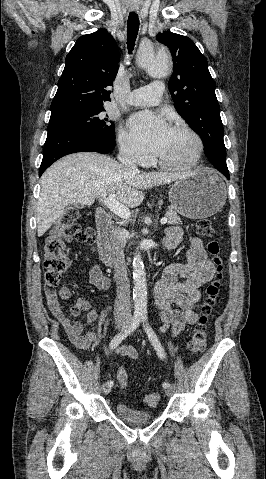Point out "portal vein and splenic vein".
<instances>
[{
    "mask_svg": "<svg viewBox=\"0 0 266 479\" xmlns=\"http://www.w3.org/2000/svg\"><path fill=\"white\" fill-rule=\"evenodd\" d=\"M103 204L114 214L120 216L123 219H128L131 215L130 210L123 204L119 203L116 200L115 195L111 194L107 198H104ZM168 222V219L162 218L160 220L161 224H166Z\"/></svg>",
    "mask_w": 266,
    "mask_h": 479,
    "instance_id": "obj_1",
    "label": "portal vein and splenic vein"
}]
</instances>
